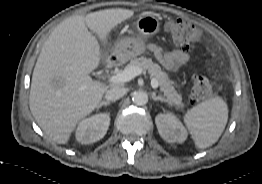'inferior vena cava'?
<instances>
[{
    "mask_svg": "<svg viewBox=\"0 0 262 184\" xmlns=\"http://www.w3.org/2000/svg\"><path fill=\"white\" fill-rule=\"evenodd\" d=\"M125 94L126 89L124 87H113L106 92L105 98L107 101H116L123 97Z\"/></svg>",
    "mask_w": 262,
    "mask_h": 184,
    "instance_id": "obj_1",
    "label": "inferior vena cava"
}]
</instances>
